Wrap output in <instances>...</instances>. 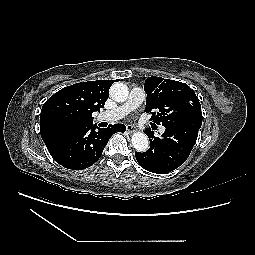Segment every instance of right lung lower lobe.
Segmentation results:
<instances>
[{"mask_svg":"<svg viewBox=\"0 0 255 255\" xmlns=\"http://www.w3.org/2000/svg\"><path fill=\"white\" fill-rule=\"evenodd\" d=\"M125 130L123 124L103 129L91 124L58 132L45 144L57 163L67 169L83 170L100 158L113 133Z\"/></svg>","mask_w":255,"mask_h":255,"instance_id":"right-lung-lower-lobe-1","label":"right lung lower lobe"}]
</instances>
